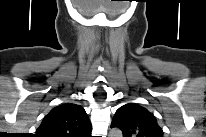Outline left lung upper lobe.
Returning a JSON list of instances; mask_svg holds the SVG:
<instances>
[{"instance_id":"obj_1","label":"left lung upper lobe","mask_w":206,"mask_h":137,"mask_svg":"<svg viewBox=\"0 0 206 137\" xmlns=\"http://www.w3.org/2000/svg\"><path fill=\"white\" fill-rule=\"evenodd\" d=\"M111 127L120 128L124 137H163V131L155 116L135 103L120 107L115 113Z\"/></svg>"}]
</instances>
